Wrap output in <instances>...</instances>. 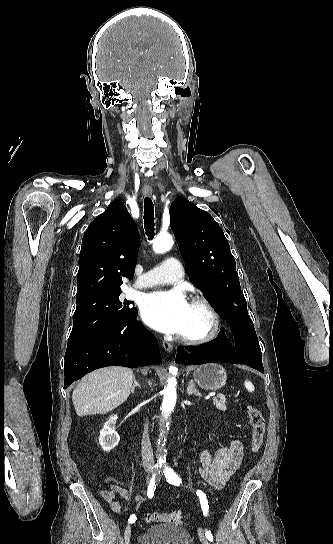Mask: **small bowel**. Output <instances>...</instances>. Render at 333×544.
<instances>
[{
    "label": "small bowel",
    "instance_id": "obj_1",
    "mask_svg": "<svg viewBox=\"0 0 333 544\" xmlns=\"http://www.w3.org/2000/svg\"><path fill=\"white\" fill-rule=\"evenodd\" d=\"M242 457L243 446L239 440H233L229 444L219 447L214 452L203 450L200 454L201 476L213 490H220L235 473ZM101 496L115 513L122 512L117 496L132 501H141L146 498V496L134 494L115 484L111 485L109 489L101 491Z\"/></svg>",
    "mask_w": 333,
    "mask_h": 544
}]
</instances>
